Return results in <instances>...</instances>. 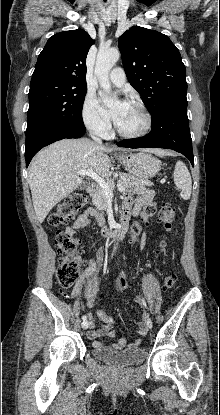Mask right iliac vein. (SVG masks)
Instances as JSON below:
<instances>
[{"label": "right iliac vein", "mask_w": 220, "mask_h": 415, "mask_svg": "<svg viewBox=\"0 0 220 415\" xmlns=\"http://www.w3.org/2000/svg\"><path fill=\"white\" fill-rule=\"evenodd\" d=\"M81 326L83 329H87L90 326V322L85 320L82 322Z\"/></svg>", "instance_id": "right-iliac-vein-1"}]
</instances>
